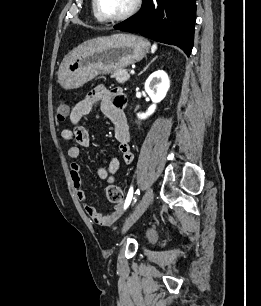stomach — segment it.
Wrapping results in <instances>:
<instances>
[{"instance_id": "obj_1", "label": "stomach", "mask_w": 261, "mask_h": 306, "mask_svg": "<svg viewBox=\"0 0 261 306\" xmlns=\"http://www.w3.org/2000/svg\"><path fill=\"white\" fill-rule=\"evenodd\" d=\"M150 43L134 34L116 33L74 49L61 63L58 83L76 89L101 74L113 73L143 59Z\"/></svg>"}]
</instances>
